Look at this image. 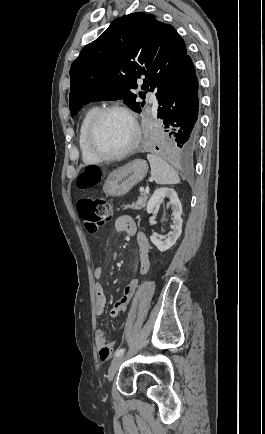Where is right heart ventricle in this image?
I'll return each instance as SVG.
<instances>
[{
  "mask_svg": "<svg viewBox=\"0 0 265 434\" xmlns=\"http://www.w3.org/2000/svg\"><path fill=\"white\" fill-rule=\"evenodd\" d=\"M97 110L98 108L96 106L89 107L84 112L79 125V130L77 135V147H78L80 160L82 164H84L85 166H95L101 163L102 161L100 158H98L96 155L93 154L87 140L89 135L91 120Z\"/></svg>",
  "mask_w": 265,
  "mask_h": 434,
  "instance_id": "right-heart-ventricle-1",
  "label": "right heart ventricle"
}]
</instances>
